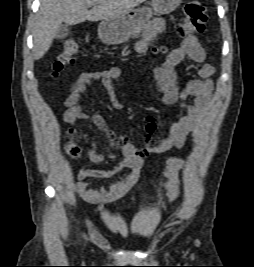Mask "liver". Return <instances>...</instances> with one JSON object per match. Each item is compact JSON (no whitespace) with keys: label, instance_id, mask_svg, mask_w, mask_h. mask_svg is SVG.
Listing matches in <instances>:
<instances>
[{"label":"liver","instance_id":"1","mask_svg":"<svg viewBox=\"0 0 254 267\" xmlns=\"http://www.w3.org/2000/svg\"><path fill=\"white\" fill-rule=\"evenodd\" d=\"M145 0H41L33 31V55L39 60L51 47L59 26L121 16ZM95 3L92 10L88 7Z\"/></svg>","mask_w":254,"mask_h":267}]
</instances>
